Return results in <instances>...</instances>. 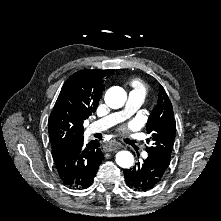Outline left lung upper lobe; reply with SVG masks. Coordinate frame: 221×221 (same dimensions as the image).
<instances>
[{"label":"left lung upper lobe","mask_w":221,"mask_h":221,"mask_svg":"<svg viewBox=\"0 0 221 221\" xmlns=\"http://www.w3.org/2000/svg\"><path fill=\"white\" fill-rule=\"evenodd\" d=\"M146 129L151 135V143L147 140L149 146L146 151L170 161L176 122L171 101L162 86L159 87L158 103L148 118Z\"/></svg>","instance_id":"1"}]
</instances>
